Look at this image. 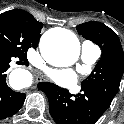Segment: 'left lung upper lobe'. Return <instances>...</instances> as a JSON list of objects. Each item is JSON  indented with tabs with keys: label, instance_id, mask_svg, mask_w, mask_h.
Listing matches in <instances>:
<instances>
[{
	"label": "left lung upper lobe",
	"instance_id": "5c2ea615",
	"mask_svg": "<svg viewBox=\"0 0 124 124\" xmlns=\"http://www.w3.org/2000/svg\"><path fill=\"white\" fill-rule=\"evenodd\" d=\"M85 39L99 45L102 55L92 73L81 83L83 91L96 94L111 104L124 72V54L118 36L108 26L90 21L77 26Z\"/></svg>",
	"mask_w": 124,
	"mask_h": 124
}]
</instances>
